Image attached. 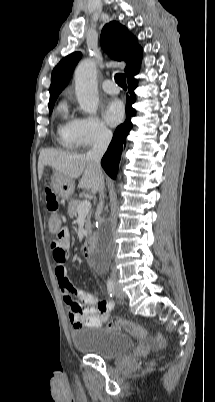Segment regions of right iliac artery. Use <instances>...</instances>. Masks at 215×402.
Returning <instances> with one entry per match:
<instances>
[{"instance_id": "1", "label": "right iliac artery", "mask_w": 215, "mask_h": 402, "mask_svg": "<svg viewBox=\"0 0 215 402\" xmlns=\"http://www.w3.org/2000/svg\"><path fill=\"white\" fill-rule=\"evenodd\" d=\"M107 291L110 297L114 295V283L111 279L107 282Z\"/></svg>"}]
</instances>
